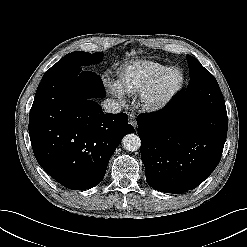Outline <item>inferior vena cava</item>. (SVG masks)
Wrapping results in <instances>:
<instances>
[{"mask_svg":"<svg viewBox=\"0 0 247 247\" xmlns=\"http://www.w3.org/2000/svg\"><path fill=\"white\" fill-rule=\"evenodd\" d=\"M102 107L106 113H119V112H121L120 104L114 99L104 100Z\"/></svg>","mask_w":247,"mask_h":247,"instance_id":"inferior-vena-cava-1","label":"inferior vena cava"}]
</instances>
